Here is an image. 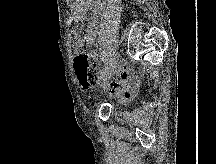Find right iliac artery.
<instances>
[{
	"label": "right iliac artery",
	"instance_id": "1",
	"mask_svg": "<svg viewBox=\"0 0 216 164\" xmlns=\"http://www.w3.org/2000/svg\"><path fill=\"white\" fill-rule=\"evenodd\" d=\"M110 61H108V67H105L104 69H103V72L101 73V76L102 77H105L106 76V73L108 72V69H113V58L111 57L110 59H109Z\"/></svg>",
	"mask_w": 216,
	"mask_h": 164
}]
</instances>
